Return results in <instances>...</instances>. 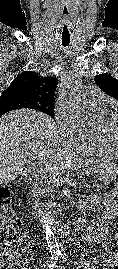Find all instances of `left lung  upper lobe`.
Returning a JSON list of instances; mask_svg holds the SVG:
<instances>
[{
    "label": "left lung upper lobe",
    "mask_w": 118,
    "mask_h": 269,
    "mask_svg": "<svg viewBox=\"0 0 118 269\" xmlns=\"http://www.w3.org/2000/svg\"><path fill=\"white\" fill-rule=\"evenodd\" d=\"M101 90L118 100V80L108 74H100L94 78Z\"/></svg>",
    "instance_id": "obj_1"
}]
</instances>
